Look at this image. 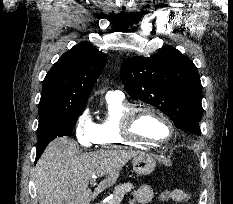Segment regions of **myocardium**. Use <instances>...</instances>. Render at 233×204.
<instances>
[{"label": "myocardium", "instance_id": "1", "mask_svg": "<svg viewBox=\"0 0 233 204\" xmlns=\"http://www.w3.org/2000/svg\"><path fill=\"white\" fill-rule=\"evenodd\" d=\"M142 112H151L161 118L168 127L169 134L164 140H151L137 135L134 131V123L138 114ZM122 135L125 139L149 146H160L172 140L175 134V128L171 119L159 108L153 105H139L131 107L123 116L121 124Z\"/></svg>", "mask_w": 233, "mask_h": 204}]
</instances>
